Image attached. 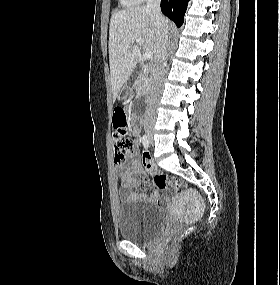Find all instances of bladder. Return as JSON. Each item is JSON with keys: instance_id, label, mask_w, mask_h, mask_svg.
<instances>
[{"instance_id": "obj_1", "label": "bladder", "mask_w": 280, "mask_h": 285, "mask_svg": "<svg viewBox=\"0 0 280 285\" xmlns=\"http://www.w3.org/2000/svg\"><path fill=\"white\" fill-rule=\"evenodd\" d=\"M119 235L145 244L156 237L166 220L160 209L143 200H128L117 210Z\"/></svg>"}]
</instances>
